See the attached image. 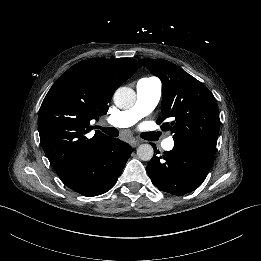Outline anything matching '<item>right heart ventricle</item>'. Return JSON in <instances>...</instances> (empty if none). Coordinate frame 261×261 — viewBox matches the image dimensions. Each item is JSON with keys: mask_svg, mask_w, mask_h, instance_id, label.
Listing matches in <instances>:
<instances>
[{"mask_svg": "<svg viewBox=\"0 0 261 261\" xmlns=\"http://www.w3.org/2000/svg\"><path fill=\"white\" fill-rule=\"evenodd\" d=\"M141 79H147V80H149V79H156V80H158L156 77H153V76H144Z\"/></svg>", "mask_w": 261, "mask_h": 261, "instance_id": "right-heart-ventricle-1", "label": "right heart ventricle"}]
</instances>
